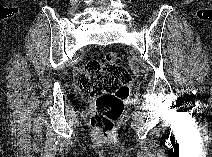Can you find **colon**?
Returning <instances> with one entry per match:
<instances>
[{
    "label": "colon",
    "instance_id": "5ec220e1",
    "mask_svg": "<svg viewBox=\"0 0 212 157\" xmlns=\"http://www.w3.org/2000/svg\"><path fill=\"white\" fill-rule=\"evenodd\" d=\"M131 81L129 71L115 52H108L102 61L91 60L86 64L85 72L79 78V87L96 98L90 123L99 137L112 135L115 122L124 112Z\"/></svg>",
    "mask_w": 212,
    "mask_h": 157
}]
</instances>
